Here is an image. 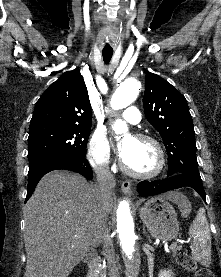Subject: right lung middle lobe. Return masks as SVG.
Listing matches in <instances>:
<instances>
[{"mask_svg": "<svg viewBox=\"0 0 221 277\" xmlns=\"http://www.w3.org/2000/svg\"><path fill=\"white\" fill-rule=\"evenodd\" d=\"M91 125H35L29 128V173L73 157H85Z\"/></svg>", "mask_w": 221, "mask_h": 277, "instance_id": "dd1d6c3e", "label": "right lung middle lobe"}]
</instances>
